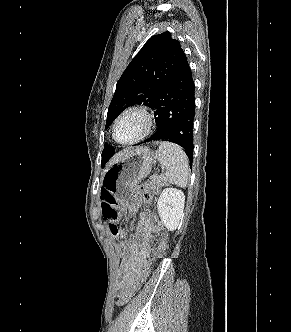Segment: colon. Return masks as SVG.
<instances>
[{
    "instance_id": "colon-1",
    "label": "colon",
    "mask_w": 291,
    "mask_h": 332,
    "mask_svg": "<svg viewBox=\"0 0 291 332\" xmlns=\"http://www.w3.org/2000/svg\"><path fill=\"white\" fill-rule=\"evenodd\" d=\"M140 190L142 193L143 201L145 203H149L154 194L158 192V187L153 183L147 182L141 185ZM101 210L103 218L108 223L111 234L115 237H124L126 235V230L121 228L119 225L120 212L117 208L115 198L112 193L107 190H103L101 192ZM163 241H166L165 235L163 236ZM159 256L160 253L157 255V257ZM154 259L155 258L151 259V261L141 269L132 284L125 291L122 292L118 299V305H125L137 293V291L141 287V284L146 278L149 267Z\"/></svg>"
}]
</instances>
